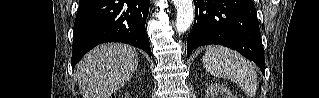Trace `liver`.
<instances>
[{
    "mask_svg": "<svg viewBox=\"0 0 319 98\" xmlns=\"http://www.w3.org/2000/svg\"><path fill=\"white\" fill-rule=\"evenodd\" d=\"M137 66L133 47L121 43L97 46L76 67L83 98H109L132 78Z\"/></svg>",
    "mask_w": 319,
    "mask_h": 98,
    "instance_id": "6515ba94",
    "label": "liver"
}]
</instances>
